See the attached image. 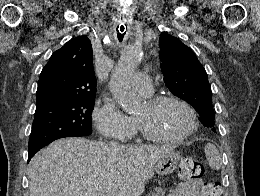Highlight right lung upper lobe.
Wrapping results in <instances>:
<instances>
[{"label": "right lung upper lobe", "instance_id": "cb5924a9", "mask_svg": "<svg viewBox=\"0 0 260 196\" xmlns=\"http://www.w3.org/2000/svg\"><path fill=\"white\" fill-rule=\"evenodd\" d=\"M92 61L91 42L84 35L54 52L40 74L36 106L63 97L96 94Z\"/></svg>", "mask_w": 260, "mask_h": 196}]
</instances>
